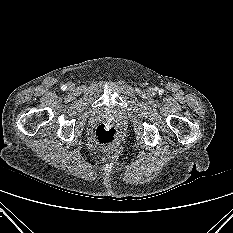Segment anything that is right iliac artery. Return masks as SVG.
Wrapping results in <instances>:
<instances>
[{
  "mask_svg": "<svg viewBox=\"0 0 233 233\" xmlns=\"http://www.w3.org/2000/svg\"><path fill=\"white\" fill-rule=\"evenodd\" d=\"M66 88H67L66 85H62V86H61V89H62V90H65Z\"/></svg>",
  "mask_w": 233,
  "mask_h": 233,
  "instance_id": "right-iliac-artery-1",
  "label": "right iliac artery"
}]
</instances>
